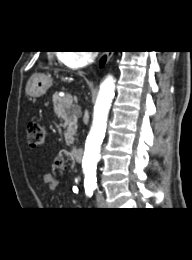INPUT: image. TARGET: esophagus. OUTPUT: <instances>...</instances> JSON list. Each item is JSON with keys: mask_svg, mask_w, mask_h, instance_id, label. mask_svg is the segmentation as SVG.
I'll list each match as a JSON object with an SVG mask.
<instances>
[{"mask_svg": "<svg viewBox=\"0 0 192 260\" xmlns=\"http://www.w3.org/2000/svg\"><path fill=\"white\" fill-rule=\"evenodd\" d=\"M107 56H108V57H111V56H112V54H109V53H107Z\"/></svg>", "mask_w": 192, "mask_h": 260, "instance_id": "esophagus-1", "label": "esophagus"}]
</instances>
